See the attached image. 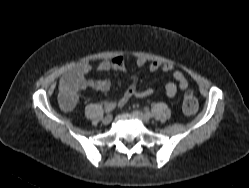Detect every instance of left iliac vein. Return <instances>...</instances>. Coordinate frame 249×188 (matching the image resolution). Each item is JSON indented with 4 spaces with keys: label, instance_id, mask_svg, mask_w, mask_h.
Here are the masks:
<instances>
[{
    "label": "left iliac vein",
    "instance_id": "1",
    "mask_svg": "<svg viewBox=\"0 0 249 188\" xmlns=\"http://www.w3.org/2000/svg\"><path fill=\"white\" fill-rule=\"evenodd\" d=\"M133 114L138 117L139 119H141L143 122L145 123H149L150 122V117L143 114L141 111L138 110H134Z\"/></svg>",
    "mask_w": 249,
    "mask_h": 188
}]
</instances>
